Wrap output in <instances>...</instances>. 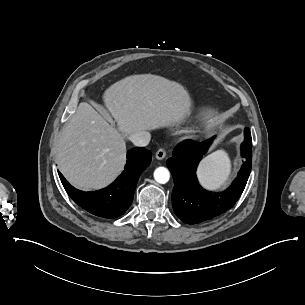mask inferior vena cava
<instances>
[{
	"label": "inferior vena cava",
	"instance_id": "obj_1",
	"mask_svg": "<svg viewBox=\"0 0 305 305\" xmlns=\"http://www.w3.org/2000/svg\"><path fill=\"white\" fill-rule=\"evenodd\" d=\"M150 134L146 131H137L130 136L131 142L135 146L144 147L150 142Z\"/></svg>",
	"mask_w": 305,
	"mask_h": 305
}]
</instances>
